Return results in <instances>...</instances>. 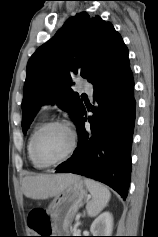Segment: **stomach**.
<instances>
[{
    "mask_svg": "<svg viewBox=\"0 0 158 237\" xmlns=\"http://www.w3.org/2000/svg\"><path fill=\"white\" fill-rule=\"evenodd\" d=\"M88 196L87 187L81 179L74 181L58 194L48 207L54 221L53 230L66 232L78 209L88 200Z\"/></svg>",
    "mask_w": 158,
    "mask_h": 237,
    "instance_id": "obj_1",
    "label": "stomach"
}]
</instances>
